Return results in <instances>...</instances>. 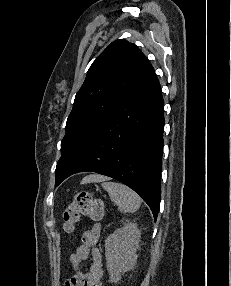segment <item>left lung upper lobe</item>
Masks as SVG:
<instances>
[{"instance_id": "1", "label": "left lung upper lobe", "mask_w": 231, "mask_h": 286, "mask_svg": "<svg viewBox=\"0 0 231 286\" xmlns=\"http://www.w3.org/2000/svg\"><path fill=\"white\" fill-rule=\"evenodd\" d=\"M154 69L138 47L126 40L112 42L92 63L77 92L61 142V158L55 171L60 176L93 128Z\"/></svg>"}]
</instances>
